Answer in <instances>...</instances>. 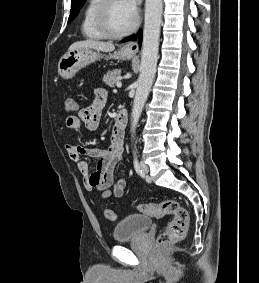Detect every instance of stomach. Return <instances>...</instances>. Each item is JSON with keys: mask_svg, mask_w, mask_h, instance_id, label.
I'll list each match as a JSON object with an SVG mask.
<instances>
[{"mask_svg": "<svg viewBox=\"0 0 259 283\" xmlns=\"http://www.w3.org/2000/svg\"><path fill=\"white\" fill-rule=\"evenodd\" d=\"M132 53L121 49L113 54L103 55L99 51L89 48H79L66 53L58 63V73L64 79L72 78L76 72L102 58L130 59Z\"/></svg>", "mask_w": 259, "mask_h": 283, "instance_id": "obj_1", "label": "stomach"}]
</instances>
